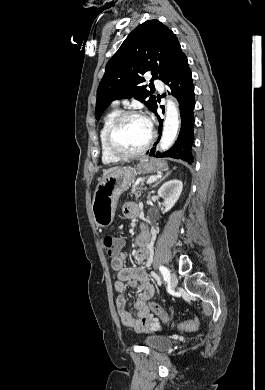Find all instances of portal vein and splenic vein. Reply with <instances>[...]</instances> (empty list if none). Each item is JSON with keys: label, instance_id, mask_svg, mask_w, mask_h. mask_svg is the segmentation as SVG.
<instances>
[{"label": "portal vein and splenic vein", "instance_id": "obj_1", "mask_svg": "<svg viewBox=\"0 0 265 390\" xmlns=\"http://www.w3.org/2000/svg\"><path fill=\"white\" fill-rule=\"evenodd\" d=\"M157 180V177L156 176H151L149 177V179L147 180V183H153Z\"/></svg>", "mask_w": 265, "mask_h": 390}]
</instances>
